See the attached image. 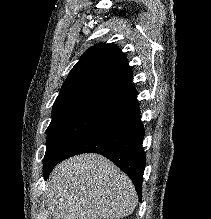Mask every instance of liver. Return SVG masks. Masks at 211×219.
Wrapping results in <instances>:
<instances>
[{
  "label": "liver",
  "mask_w": 211,
  "mask_h": 219,
  "mask_svg": "<svg viewBox=\"0 0 211 219\" xmlns=\"http://www.w3.org/2000/svg\"><path fill=\"white\" fill-rule=\"evenodd\" d=\"M130 178L99 154L59 163L47 183V205L54 219H120L136 207Z\"/></svg>",
  "instance_id": "obj_1"
}]
</instances>
